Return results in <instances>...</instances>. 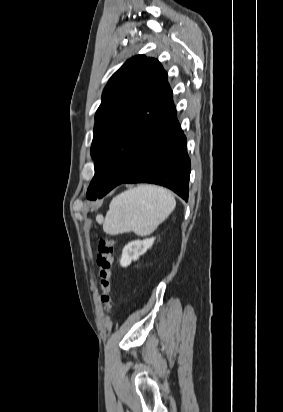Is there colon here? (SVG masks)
Wrapping results in <instances>:
<instances>
[{"instance_id":"colon-1","label":"colon","mask_w":283,"mask_h":412,"mask_svg":"<svg viewBox=\"0 0 283 412\" xmlns=\"http://www.w3.org/2000/svg\"><path fill=\"white\" fill-rule=\"evenodd\" d=\"M113 253L114 241L109 238L100 237L97 244V266L99 269V282L101 289L100 299L108 313H111L113 309V303L110 296L114 262Z\"/></svg>"}]
</instances>
